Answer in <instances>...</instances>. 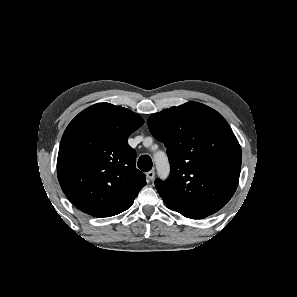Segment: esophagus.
I'll return each mask as SVG.
<instances>
[{"mask_svg": "<svg viewBox=\"0 0 297 297\" xmlns=\"http://www.w3.org/2000/svg\"><path fill=\"white\" fill-rule=\"evenodd\" d=\"M146 177H147V179L150 180V181L153 180L154 177H155V173H154V171L151 170V171L147 172V173H146Z\"/></svg>", "mask_w": 297, "mask_h": 297, "instance_id": "1", "label": "esophagus"}]
</instances>
